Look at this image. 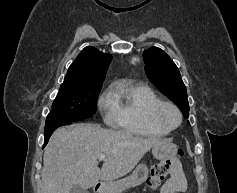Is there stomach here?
I'll list each match as a JSON object with an SVG mask.
<instances>
[{"label": "stomach", "instance_id": "0dacf381", "mask_svg": "<svg viewBox=\"0 0 237 193\" xmlns=\"http://www.w3.org/2000/svg\"><path fill=\"white\" fill-rule=\"evenodd\" d=\"M152 154L156 159L165 160L175 154V146L168 141L152 147ZM148 177V168L146 164H140L133 171L132 175L120 181L105 183L99 190V193H123L127 188L142 184Z\"/></svg>", "mask_w": 237, "mask_h": 193}]
</instances>
